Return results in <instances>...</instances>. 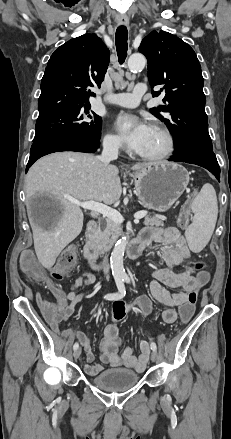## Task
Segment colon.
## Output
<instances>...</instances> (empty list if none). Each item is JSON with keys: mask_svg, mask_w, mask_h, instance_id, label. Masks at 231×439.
Instances as JSON below:
<instances>
[{"mask_svg": "<svg viewBox=\"0 0 231 439\" xmlns=\"http://www.w3.org/2000/svg\"><path fill=\"white\" fill-rule=\"evenodd\" d=\"M190 221L189 205L185 204L178 217V225L181 228H186ZM77 260V251L74 246L66 247L58 257L52 269V276L56 280L62 279L75 266ZM20 264L22 270L34 279H42L43 273L39 267L35 256L30 251H23L20 256ZM206 264L203 261H198L194 264V269L198 272L196 275L197 282H200L196 287L191 288L190 293L187 294L183 303L179 305L178 316L182 323H191L195 315V306L198 301L199 290H202L209 284L210 273L205 270ZM199 289V290H198ZM58 289H53L55 295ZM39 305L43 313L44 320H51L56 318V303L49 302L47 297L39 298ZM127 305L123 301H116L112 307V318L116 321H121L125 318Z\"/></svg>", "mask_w": 231, "mask_h": 439, "instance_id": "5ec220e1", "label": "colon"}]
</instances>
